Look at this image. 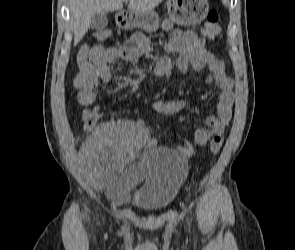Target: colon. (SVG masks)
I'll use <instances>...</instances> for the list:
<instances>
[{
    "mask_svg": "<svg viewBox=\"0 0 295 250\" xmlns=\"http://www.w3.org/2000/svg\"><path fill=\"white\" fill-rule=\"evenodd\" d=\"M221 30V18L216 10H211L206 18V21L202 27V34L208 39L215 38ZM110 32L105 29L98 30L94 33V38L97 41H106L110 38ZM91 46H83L77 56V62L79 64H87L89 62V55ZM100 119V112L97 108H87L81 113V121L86 130H91L95 127ZM222 142L218 139H214L210 143V150L216 154L220 151Z\"/></svg>",
    "mask_w": 295,
    "mask_h": 250,
    "instance_id": "obj_1",
    "label": "colon"
}]
</instances>
